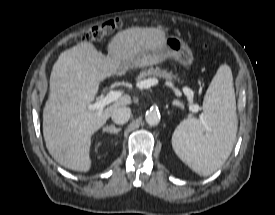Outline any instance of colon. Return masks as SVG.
I'll use <instances>...</instances> for the list:
<instances>
[{"instance_id":"1","label":"colon","mask_w":275,"mask_h":215,"mask_svg":"<svg viewBox=\"0 0 275 215\" xmlns=\"http://www.w3.org/2000/svg\"><path fill=\"white\" fill-rule=\"evenodd\" d=\"M124 25V21L121 18H113L99 25L92 27L91 29L80 33L76 37L78 42H98L102 39L111 36L118 31Z\"/></svg>"}]
</instances>
